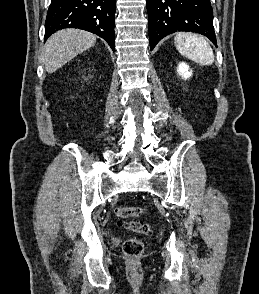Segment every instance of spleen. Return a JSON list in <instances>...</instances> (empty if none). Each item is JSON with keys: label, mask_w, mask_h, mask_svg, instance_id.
<instances>
[{"label": "spleen", "mask_w": 259, "mask_h": 294, "mask_svg": "<svg viewBox=\"0 0 259 294\" xmlns=\"http://www.w3.org/2000/svg\"><path fill=\"white\" fill-rule=\"evenodd\" d=\"M174 43L180 54L200 65H212L214 54L209 43L201 36L192 33H178Z\"/></svg>", "instance_id": "1"}]
</instances>
